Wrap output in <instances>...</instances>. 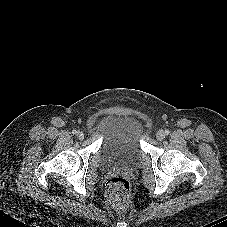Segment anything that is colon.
Returning <instances> with one entry per match:
<instances>
[{"instance_id": "obj_1", "label": "colon", "mask_w": 227, "mask_h": 227, "mask_svg": "<svg viewBox=\"0 0 227 227\" xmlns=\"http://www.w3.org/2000/svg\"><path fill=\"white\" fill-rule=\"evenodd\" d=\"M108 204L117 212H127L133 204V187L123 176H112L105 186Z\"/></svg>"}]
</instances>
